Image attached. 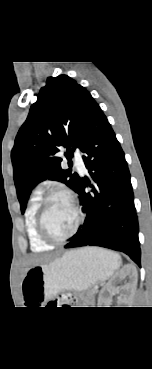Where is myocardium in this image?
<instances>
[{"label":"myocardium","mask_w":152,"mask_h":369,"mask_svg":"<svg viewBox=\"0 0 152 369\" xmlns=\"http://www.w3.org/2000/svg\"><path fill=\"white\" fill-rule=\"evenodd\" d=\"M57 196L66 197L71 202V204H72V206L75 210V213H76V223H75L74 228L72 229V231L69 234H67L64 237H60V238L53 236L49 232V230L46 226V222H45V217H46L48 204H49V202L52 198L57 197ZM83 221H84V216H83V213L81 211V208H80L76 198L74 197V195L71 192L66 191V190H53V191L48 192L45 196H43L41 198L39 208H38V212H37L36 223H37L38 232H39L41 238L45 242H47L49 244H54V245L64 243L65 241L72 238L78 232V230H79L80 226L82 225Z\"/></svg>","instance_id":"obj_1"}]
</instances>
